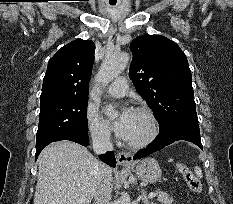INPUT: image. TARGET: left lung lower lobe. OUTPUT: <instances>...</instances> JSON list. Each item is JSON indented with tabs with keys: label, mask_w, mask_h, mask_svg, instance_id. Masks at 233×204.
<instances>
[{
	"label": "left lung lower lobe",
	"mask_w": 233,
	"mask_h": 204,
	"mask_svg": "<svg viewBox=\"0 0 233 204\" xmlns=\"http://www.w3.org/2000/svg\"><path fill=\"white\" fill-rule=\"evenodd\" d=\"M145 149L137 152L133 159L146 157L178 140H186L202 148L198 122H175L165 129Z\"/></svg>",
	"instance_id": "1"
}]
</instances>
